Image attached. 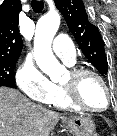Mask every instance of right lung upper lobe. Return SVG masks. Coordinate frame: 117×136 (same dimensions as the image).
<instances>
[{"label":"right lung upper lobe","mask_w":117,"mask_h":136,"mask_svg":"<svg viewBox=\"0 0 117 136\" xmlns=\"http://www.w3.org/2000/svg\"><path fill=\"white\" fill-rule=\"evenodd\" d=\"M20 0H5L0 6V59H18L22 51L19 33Z\"/></svg>","instance_id":"obj_1"}]
</instances>
